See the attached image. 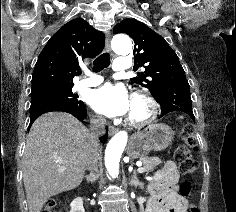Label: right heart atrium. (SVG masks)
Wrapping results in <instances>:
<instances>
[{
  "instance_id": "d8ad5b80",
  "label": "right heart atrium",
  "mask_w": 236,
  "mask_h": 212,
  "mask_svg": "<svg viewBox=\"0 0 236 212\" xmlns=\"http://www.w3.org/2000/svg\"><path fill=\"white\" fill-rule=\"evenodd\" d=\"M92 119L95 122H99L100 121V118L98 116H93Z\"/></svg>"
}]
</instances>
